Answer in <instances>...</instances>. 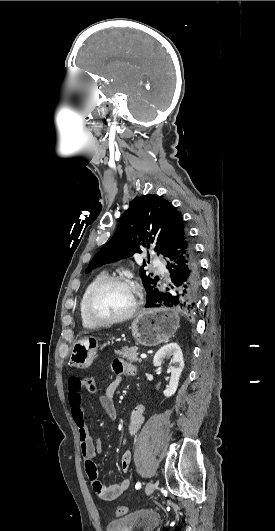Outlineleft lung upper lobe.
I'll list each match as a JSON object with an SVG mask.
<instances>
[{
  "instance_id": "1",
  "label": "left lung upper lobe",
  "mask_w": 275,
  "mask_h": 531,
  "mask_svg": "<svg viewBox=\"0 0 275 531\" xmlns=\"http://www.w3.org/2000/svg\"><path fill=\"white\" fill-rule=\"evenodd\" d=\"M184 227L183 218L176 208L158 195H143L134 198L119 220L118 228L110 241L94 256L86 272L106 263H112L141 252V248L163 254L165 257L177 233ZM140 275L147 292V303L156 297L159 277L146 274L143 267Z\"/></svg>"
}]
</instances>
